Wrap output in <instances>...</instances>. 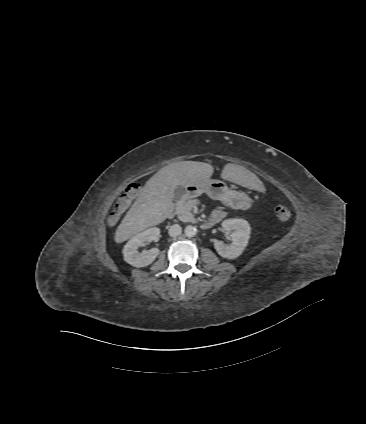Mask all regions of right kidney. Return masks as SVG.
Masks as SVG:
<instances>
[{
  "label": "right kidney",
  "instance_id": "ca27d5eb",
  "mask_svg": "<svg viewBox=\"0 0 366 424\" xmlns=\"http://www.w3.org/2000/svg\"><path fill=\"white\" fill-rule=\"evenodd\" d=\"M160 234L157 227L149 228L132 237L123 248L124 260L134 267H145L150 265L159 255L158 248H152L148 251L140 253L138 249L156 239Z\"/></svg>",
  "mask_w": 366,
  "mask_h": 424
}]
</instances>
